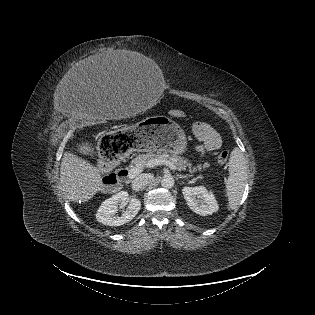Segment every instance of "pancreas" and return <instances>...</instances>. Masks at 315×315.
Masks as SVG:
<instances>
[{
	"label": "pancreas",
	"mask_w": 315,
	"mask_h": 315,
	"mask_svg": "<svg viewBox=\"0 0 315 315\" xmlns=\"http://www.w3.org/2000/svg\"><path fill=\"white\" fill-rule=\"evenodd\" d=\"M155 159H169L179 171L186 170L188 168L190 173L206 168L209 165L208 163H204L203 165L199 164L192 167V164L189 163L188 160L184 157H181L177 154L170 155L166 151H157L156 153L149 152L146 154L138 155L131 161L130 167L133 168L137 165H140L142 168H144L149 161Z\"/></svg>",
	"instance_id": "obj_1"
}]
</instances>
